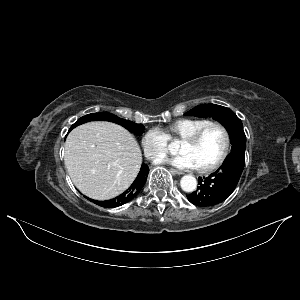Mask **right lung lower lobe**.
<instances>
[{"label":"right lung lower lobe","mask_w":300,"mask_h":300,"mask_svg":"<svg viewBox=\"0 0 300 300\" xmlns=\"http://www.w3.org/2000/svg\"><path fill=\"white\" fill-rule=\"evenodd\" d=\"M148 173H149L148 165L143 164L141 166L140 172H139L137 178L135 179V181L121 195H119L113 199L107 200V201H97V200H92V199H89V200L99 206L106 207V208H113V207L121 206V205L131 201L142 191V189L146 183Z\"/></svg>","instance_id":"1"}]
</instances>
